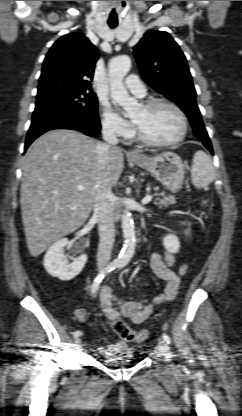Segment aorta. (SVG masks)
Masks as SVG:
<instances>
[{
    "instance_id": "762f6f07",
    "label": "aorta",
    "mask_w": 242,
    "mask_h": 416,
    "mask_svg": "<svg viewBox=\"0 0 242 416\" xmlns=\"http://www.w3.org/2000/svg\"><path fill=\"white\" fill-rule=\"evenodd\" d=\"M131 68V59L126 56L113 58L109 63V82L110 93L114 102H117L123 109L131 113L136 106V101L129 95L123 84V79ZM122 232L124 245L115 264L118 266H126L134 255L136 247L135 227L128 209H125L122 215Z\"/></svg>"
}]
</instances>
